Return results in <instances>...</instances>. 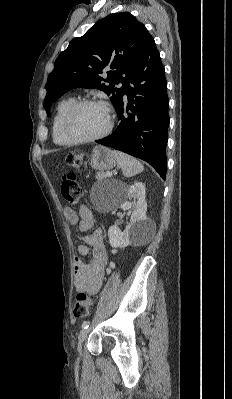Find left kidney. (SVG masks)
Listing matches in <instances>:
<instances>
[{
	"label": "left kidney",
	"instance_id": "left-kidney-1",
	"mask_svg": "<svg viewBox=\"0 0 232 399\" xmlns=\"http://www.w3.org/2000/svg\"><path fill=\"white\" fill-rule=\"evenodd\" d=\"M118 192L122 196L120 207L122 209H133V211L124 231H121L118 225H110L108 229L109 243L112 247H126L130 243L138 245L141 241H145L152 223L146 215L145 184H142V182H134L132 186L121 184ZM133 198H136L137 201H128L133 200Z\"/></svg>",
	"mask_w": 232,
	"mask_h": 399
}]
</instances>
